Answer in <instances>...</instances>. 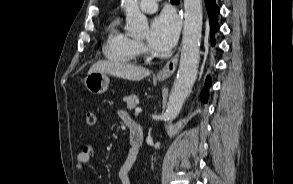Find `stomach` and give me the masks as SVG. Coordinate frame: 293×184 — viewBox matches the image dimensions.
I'll return each mask as SVG.
<instances>
[{"instance_id":"1","label":"stomach","mask_w":293,"mask_h":184,"mask_svg":"<svg viewBox=\"0 0 293 184\" xmlns=\"http://www.w3.org/2000/svg\"><path fill=\"white\" fill-rule=\"evenodd\" d=\"M109 83V77L103 72L88 73L84 80L86 89L92 94L104 93L108 89Z\"/></svg>"}]
</instances>
